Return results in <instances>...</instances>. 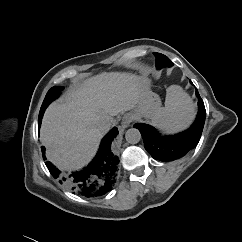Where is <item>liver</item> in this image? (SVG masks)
<instances>
[{
  "instance_id": "1",
  "label": "liver",
  "mask_w": 242,
  "mask_h": 242,
  "mask_svg": "<svg viewBox=\"0 0 242 242\" xmlns=\"http://www.w3.org/2000/svg\"><path fill=\"white\" fill-rule=\"evenodd\" d=\"M129 112L150 116L133 76L104 73L72 87L46 112L41 134L52 155L65 164L80 165L96 150L102 136L96 123L104 115Z\"/></svg>"
}]
</instances>
